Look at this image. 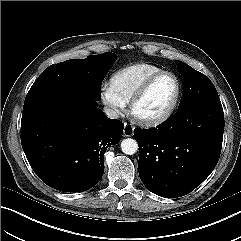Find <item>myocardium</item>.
Returning <instances> with one entry per match:
<instances>
[{"label":"myocardium","instance_id":"obj_1","mask_svg":"<svg viewBox=\"0 0 241 241\" xmlns=\"http://www.w3.org/2000/svg\"><path fill=\"white\" fill-rule=\"evenodd\" d=\"M163 76H171L174 78V80L176 82V93H175V96H174L171 104L167 107V109L164 112H162L161 114H159L157 116H153V117L140 116L136 112L137 105L146 96V94L148 93V91L150 90L152 85L159 78H161ZM181 91H182V85H181V81H180L179 77L171 71L162 70V71L152 75L151 77H149L141 85V87L137 90V92L134 94V96L132 97V99L130 101V110H129L130 115L133 118V120L140 125L147 126V127H153V126L160 125V124L164 123L165 121H167L175 112V110L178 106L180 97H181Z\"/></svg>","mask_w":241,"mask_h":241}]
</instances>
